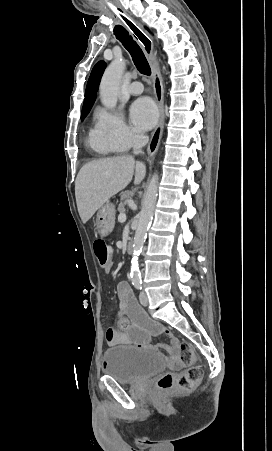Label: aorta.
<instances>
[{"instance_id": "1", "label": "aorta", "mask_w": 272, "mask_h": 451, "mask_svg": "<svg viewBox=\"0 0 272 451\" xmlns=\"http://www.w3.org/2000/svg\"><path fill=\"white\" fill-rule=\"evenodd\" d=\"M125 60L114 58L113 62L106 68L99 86L101 102L105 108H115L117 104L118 88L122 74L125 70ZM158 192V176L154 174L147 188L142 204V210L138 214V226L133 241V253L131 259L130 275L132 281H140L141 275L138 267V255L144 245L146 231L154 214Z\"/></svg>"}]
</instances>
